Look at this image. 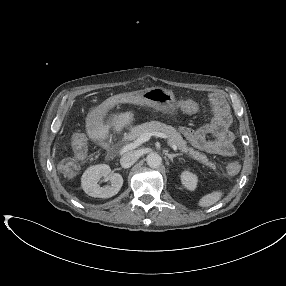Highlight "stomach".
<instances>
[{"label":"stomach","mask_w":286,"mask_h":286,"mask_svg":"<svg viewBox=\"0 0 286 286\" xmlns=\"http://www.w3.org/2000/svg\"><path fill=\"white\" fill-rule=\"evenodd\" d=\"M139 97L146 105L164 114H175V96L171 90L162 87L145 88L139 91Z\"/></svg>","instance_id":"0dacf381"}]
</instances>
